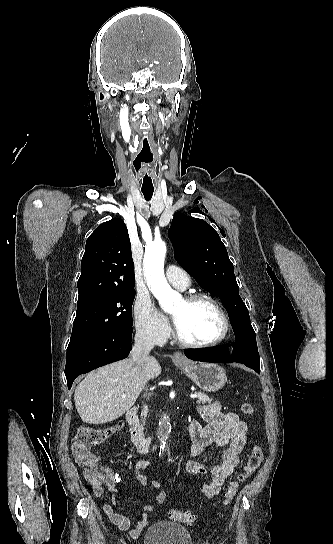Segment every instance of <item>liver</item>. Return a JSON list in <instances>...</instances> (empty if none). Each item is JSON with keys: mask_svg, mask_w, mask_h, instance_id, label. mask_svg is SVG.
Masks as SVG:
<instances>
[{"mask_svg": "<svg viewBox=\"0 0 333 544\" xmlns=\"http://www.w3.org/2000/svg\"><path fill=\"white\" fill-rule=\"evenodd\" d=\"M161 366L149 357L145 377L156 378ZM144 383L133 356L90 372L76 387L74 401L81 420L105 424L121 417L136 402ZM126 395L122 397V395Z\"/></svg>", "mask_w": 333, "mask_h": 544, "instance_id": "1", "label": "liver"}]
</instances>
